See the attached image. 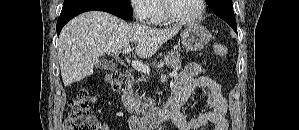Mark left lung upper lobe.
Wrapping results in <instances>:
<instances>
[{
    "mask_svg": "<svg viewBox=\"0 0 299 130\" xmlns=\"http://www.w3.org/2000/svg\"><path fill=\"white\" fill-rule=\"evenodd\" d=\"M207 1V4H209L211 2V0H206Z\"/></svg>",
    "mask_w": 299,
    "mask_h": 130,
    "instance_id": "1",
    "label": "left lung upper lobe"
}]
</instances>
